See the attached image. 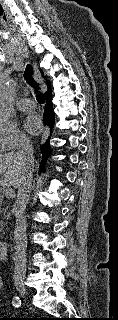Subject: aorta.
<instances>
[{
	"label": "aorta",
	"mask_w": 118,
	"mask_h": 320,
	"mask_svg": "<svg viewBox=\"0 0 118 320\" xmlns=\"http://www.w3.org/2000/svg\"><path fill=\"white\" fill-rule=\"evenodd\" d=\"M15 94V84L12 80L0 83V122L6 123L10 120L12 102ZM15 249V248H14ZM11 249L12 259L14 260L15 250Z\"/></svg>",
	"instance_id": "762f6f07"
}]
</instances>
